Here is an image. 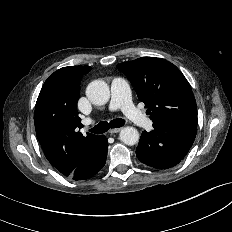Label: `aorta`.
<instances>
[{"mask_svg": "<svg viewBox=\"0 0 232 232\" xmlns=\"http://www.w3.org/2000/svg\"><path fill=\"white\" fill-rule=\"evenodd\" d=\"M86 96L94 105H105L110 98L109 86L102 80H94L88 84ZM119 138L124 144L132 146L139 141V133L134 127H124Z\"/></svg>", "mask_w": 232, "mask_h": 232, "instance_id": "762f6f07", "label": "aorta"}]
</instances>
